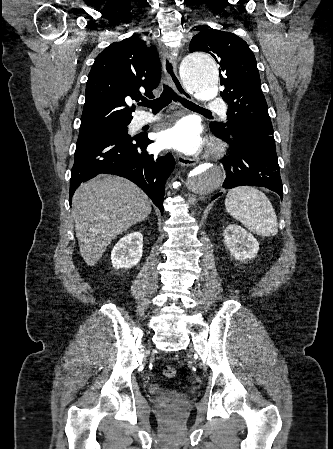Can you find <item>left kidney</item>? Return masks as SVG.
Wrapping results in <instances>:
<instances>
[{
	"mask_svg": "<svg viewBox=\"0 0 333 449\" xmlns=\"http://www.w3.org/2000/svg\"><path fill=\"white\" fill-rule=\"evenodd\" d=\"M224 242L231 255L239 261L252 259L259 250L256 238L237 224H229L224 229Z\"/></svg>",
	"mask_w": 333,
	"mask_h": 449,
	"instance_id": "5707ae66",
	"label": "left kidney"
}]
</instances>
